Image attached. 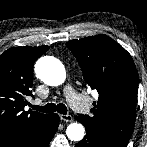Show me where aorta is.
<instances>
[{"label":"aorta","instance_id":"obj_1","mask_svg":"<svg viewBox=\"0 0 147 147\" xmlns=\"http://www.w3.org/2000/svg\"><path fill=\"white\" fill-rule=\"evenodd\" d=\"M35 73L41 81L50 86H59L66 79L63 64L50 56L42 57L36 62ZM66 135L71 141H80L85 135V128L80 123H71L66 129Z\"/></svg>","mask_w":147,"mask_h":147}]
</instances>
